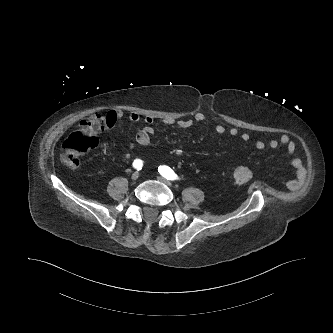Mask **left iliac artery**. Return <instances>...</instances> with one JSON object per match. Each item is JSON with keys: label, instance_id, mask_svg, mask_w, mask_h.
Listing matches in <instances>:
<instances>
[{"label": "left iliac artery", "instance_id": "left-iliac-artery-1", "mask_svg": "<svg viewBox=\"0 0 333 333\" xmlns=\"http://www.w3.org/2000/svg\"><path fill=\"white\" fill-rule=\"evenodd\" d=\"M158 171L167 180H176V179H178L175 172L170 167H168L166 165L159 166Z\"/></svg>", "mask_w": 333, "mask_h": 333}]
</instances>
